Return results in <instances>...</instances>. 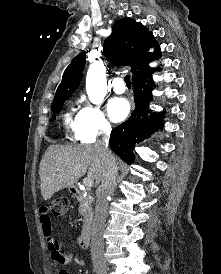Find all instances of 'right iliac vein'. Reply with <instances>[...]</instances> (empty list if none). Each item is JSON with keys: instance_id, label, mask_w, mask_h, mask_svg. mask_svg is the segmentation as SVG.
<instances>
[{"instance_id": "right-iliac-vein-1", "label": "right iliac vein", "mask_w": 221, "mask_h": 274, "mask_svg": "<svg viewBox=\"0 0 221 274\" xmlns=\"http://www.w3.org/2000/svg\"><path fill=\"white\" fill-rule=\"evenodd\" d=\"M96 274H107V270L105 266L97 265L95 267Z\"/></svg>"}]
</instances>
